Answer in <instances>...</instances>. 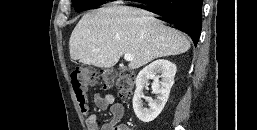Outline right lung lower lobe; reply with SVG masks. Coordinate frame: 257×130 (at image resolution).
Returning a JSON list of instances; mask_svg holds the SVG:
<instances>
[{"mask_svg": "<svg viewBox=\"0 0 257 130\" xmlns=\"http://www.w3.org/2000/svg\"><path fill=\"white\" fill-rule=\"evenodd\" d=\"M203 0H168L151 4L157 11H152L167 23L188 34L194 42L199 41L202 28Z\"/></svg>", "mask_w": 257, "mask_h": 130, "instance_id": "obj_1", "label": "right lung lower lobe"}]
</instances>
